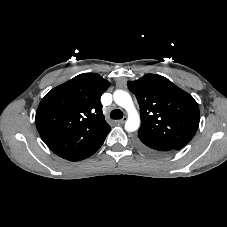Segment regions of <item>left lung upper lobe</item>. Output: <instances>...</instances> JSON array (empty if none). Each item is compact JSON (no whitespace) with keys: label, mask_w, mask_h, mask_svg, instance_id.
<instances>
[{"label":"left lung upper lobe","mask_w":227,"mask_h":227,"mask_svg":"<svg viewBox=\"0 0 227 227\" xmlns=\"http://www.w3.org/2000/svg\"><path fill=\"white\" fill-rule=\"evenodd\" d=\"M127 85L140 106L139 139L180 150L193 138L200 114L190 94L157 74H146Z\"/></svg>","instance_id":"left-lung-upper-lobe-1"}]
</instances>
